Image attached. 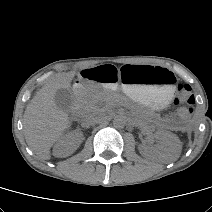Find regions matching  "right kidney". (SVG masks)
Returning a JSON list of instances; mask_svg holds the SVG:
<instances>
[{"mask_svg": "<svg viewBox=\"0 0 212 212\" xmlns=\"http://www.w3.org/2000/svg\"><path fill=\"white\" fill-rule=\"evenodd\" d=\"M84 137L79 131L65 134L54 146L53 154L56 157H67L73 154L82 143Z\"/></svg>", "mask_w": 212, "mask_h": 212, "instance_id": "right-kidney-1", "label": "right kidney"}]
</instances>
